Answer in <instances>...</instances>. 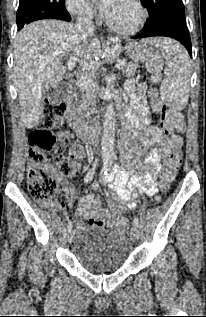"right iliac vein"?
<instances>
[{"label": "right iliac vein", "instance_id": "63e3f726", "mask_svg": "<svg viewBox=\"0 0 206 317\" xmlns=\"http://www.w3.org/2000/svg\"><path fill=\"white\" fill-rule=\"evenodd\" d=\"M74 230L72 228H69L67 231V240L68 242H72V240L74 239Z\"/></svg>", "mask_w": 206, "mask_h": 317}]
</instances>
